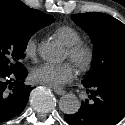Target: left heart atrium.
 <instances>
[{"mask_svg": "<svg viewBox=\"0 0 125 125\" xmlns=\"http://www.w3.org/2000/svg\"><path fill=\"white\" fill-rule=\"evenodd\" d=\"M75 74L76 70L71 62L43 63L32 70L31 77L37 83L57 88L71 82Z\"/></svg>", "mask_w": 125, "mask_h": 125, "instance_id": "39dd6f15", "label": "left heart atrium"}]
</instances>
